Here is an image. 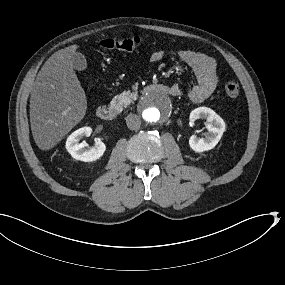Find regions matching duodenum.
<instances>
[{"instance_id": "410a0bca", "label": "duodenum", "mask_w": 285, "mask_h": 285, "mask_svg": "<svg viewBox=\"0 0 285 285\" xmlns=\"http://www.w3.org/2000/svg\"><path fill=\"white\" fill-rule=\"evenodd\" d=\"M144 92L149 91H159L164 94L174 95V91L171 87L161 84V83H153L146 86L143 90ZM97 117L103 121H110L116 117V111L113 107L109 105H101L97 108L96 111Z\"/></svg>"}]
</instances>
